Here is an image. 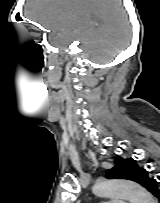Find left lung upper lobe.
I'll use <instances>...</instances> for the list:
<instances>
[{
    "mask_svg": "<svg viewBox=\"0 0 160 203\" xmlns=\"http://www.w3.org/2000/svg\"><path fill=\"white\" fill-rule=\"evenodd\" d=\"M115 166L107 171V177L116 179H127L139 183L146 189L150 185L151 178L144 168L138 166L136 160L132 158L116 157Z\"/></svg>",
    "mask_w": 160,
    "mask_h": 203,
    "instance_id": "5c2ea615",
    "label": "left lung upper lobe"
}]
</instances>
